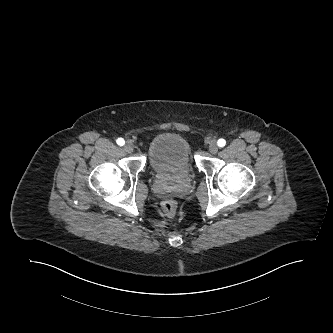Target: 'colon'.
Returning a JSON list of instances; mask_svg holds the SVG:
<instances>
[{"label": "colon", "instance_id": "colon-1", "mask_svg": "<svg viewBox=\"0 0 333 333\" xmlns=\"http://www.w3.org/2000/svg\"><path fill=\"white\" fill-rule=\"evenodd\" d=\"M177 210V204L174 200H166L163 202V211L166 215H174Z\"/></svg>", "mask_w": 333, "mask_h": 333}]
</instances>
